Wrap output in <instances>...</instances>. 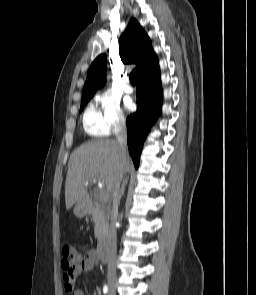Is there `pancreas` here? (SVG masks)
<instances>
[{
  "instance_id": "1",
  "label": "pancreas",
  "mask_w": 256,
  "mask_h": 295,
  "mask_svg": "<svg viewBox=\"0 0 256 295\" xmlns=\"http://www.w3.org/2000/svg\"><path fill=\"white\" fill-rule=\"evenodd\" d=\"M92 218L95 224L94 233L95 237L98 240V244H100L101 240L105 237L108 231V219L109 216L103 205H94L92 209Z\"/></svg>"
}]
</instances>
